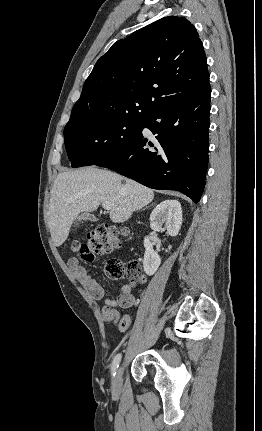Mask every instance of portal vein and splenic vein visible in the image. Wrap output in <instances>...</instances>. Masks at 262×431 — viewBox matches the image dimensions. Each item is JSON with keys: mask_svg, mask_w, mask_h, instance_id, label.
I'll list each match as a JSON object with an SVG mask.
<instances>
[{"mask_svg": "<svg viewBox=\"0 0 262 431\" xmlns=\"http://www.w3.org/2000/svg\"><path fill=\"white\" fill-rule=\"evenodd\" d=\"M102 206L105 210H110L111 209V204L109 202H103Z\"/></svg>", "mask_w": 262, "mask_h": 431, "instance_id": "18ae733b", "label": "portal vein and splenic vein"}]
</instances>
